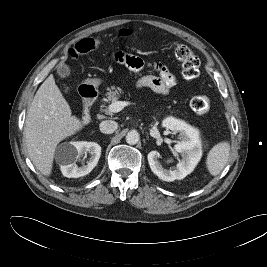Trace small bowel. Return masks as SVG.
<instances>
[{"instance_id":"c3829d8e","label":"small bowel","mask_w":267,"mask_h":267,"mask_svg":"<svg viewBox=\"0 0 267 267\" xmlns=\"http://www.w3.org/2000/svg\"><path fill=\"white\" fill-rule=\"evenodd\" d=\"M113 59L133 72H141L145 68H151L158 72V76L146 75L141 77L136 84L139 89L149 88L159 94H168L178 83L176 76L160 62L147 63L138 56L122 52L116 53Z\"/></svg>"}]
</instances>
